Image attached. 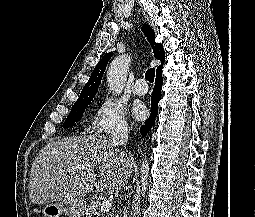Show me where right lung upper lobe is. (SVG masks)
<instances>
[{
  "instance_id": "right-lung-upper-lobe-1",
  "label": "right lung upper lobe",
  "mask_w": 255,
  "mask_h": 217,
  "mask_svg": "<svg viewBox=\"0 0 255 217\" xmlns=\"http://www.w3.org/2000/svg\"><path fill=\"white\" fill-rule=\"evenodd\" d=\"M142 31L144 32L145 36L147 37L148 41L150 42L154 56L155 58L159 59L161 61V65L157 68V72L159 73L162 71V65L165 61V54H164V49L162 44L156 43L154 41L155 39V32L152 30V28L148 24H144L142 27ZM112 56V52L107 53L102 57V59L98 62L96 65L95 69L93 70L90 79L82 89V94H87V93H94L97 92L98 86L101 83V79L103 77L106 65L108 61L110 60Z\"/></svg>"
}]
</instances>
